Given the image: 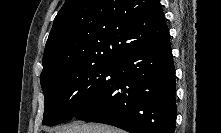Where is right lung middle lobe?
I'll use <instances>...</instances> for the list:
<instances>
[{"mask_svg":"<svg viewBox=\"0 0 221 133\" xmlns=\"http://www.w3.org/2000/svg\"><path fill=\"white\" fill-rule=\"evenodd\" d=\"M113 63L73 64L52 69L40 78L45 96L44 125L74 117L107 78Z\"/></svg>","mask_w":221,"mask_h":133,"instance_id":"obj_1","label":"right lung middle lobe"}]
</instances>
